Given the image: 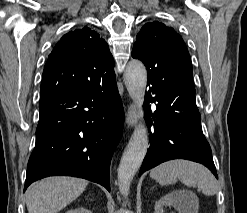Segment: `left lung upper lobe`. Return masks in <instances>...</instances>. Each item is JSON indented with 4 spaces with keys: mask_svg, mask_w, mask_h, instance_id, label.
I'll return each mask as SVG.
<instances>
[{
    "mask_svg": "<svg viewBox=\"0 0 247 213\" xmlns=\"http://www.w3.org/2000/svg\"><path fill=\"white\" fill-rule=\"evenodd\" d=\"M132 57L141 60L148 75L178 71L193 81L189 52L182 37L158 21L145 24L137 34Z\"/></svg>",
    "mask_w": 247,
    "mask_h": 213,
    "instance_id": "obj_1",
    "label": "left lung upper lobe"
}]
</instances>
